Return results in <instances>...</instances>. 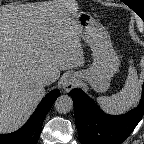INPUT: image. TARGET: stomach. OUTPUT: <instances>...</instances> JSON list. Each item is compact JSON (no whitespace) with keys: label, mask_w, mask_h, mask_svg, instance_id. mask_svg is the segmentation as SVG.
I'll use <instances>...</instances> for the list:
<instances>
[{"label":"stomach","mask_w":144,"mask_h":144,"mask_svg":"<svg viewBox=\"0 0 144 144\" xmlns=\"http://www.w3.org/2000/svg\"><path fill=\"white\" fill-rule=\"evenodd\" d=\"M76 21L80 38L92 50L93 62L87 69L75 72L74 76L88 82L96 92H106L120 64L110 35L106 28L87 12H78Z\"/></svg>","instance_id":"1"}]
</instances>
